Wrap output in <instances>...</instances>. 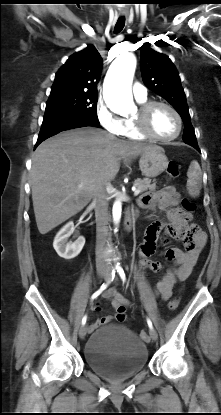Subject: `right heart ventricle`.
<instances>
[{
  "mask_svg": "<svg viewBox=\"0 0 221 415\" xmlns=\"http://www.w3.org/2000/svg\"><path fill=\"white\" fill-rule=\"evenodd\" d=\"M140 104H143L147 101L146 99L143 100H137ZM125 122V127H124V131H123V136H125L126 138L129 139H134V140H143L145 139V137L143 135H141L139 133V131L136 128L135 122H134V118H128L124 120Z\"/></svg>",
  "mask_w": 221,
  "mask_h": 415,
  "instance_id": "right-heart-ventricle-1",
  "label": "right heart ventricle"
}]
</instances>
